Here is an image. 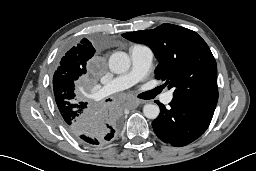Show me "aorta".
<instances>
[{
    "label": "aorta",
    "mask_w": 256,
    "mask_h": 171,
    "mask_svg": "<svg viewBox=\"0 0 256 171\" xmlns=\"http://www.w3.org/2000/svg\"><path fill=\"white\" fill-rule=\"evenodd\" d=\"M130 66V58L125 52H115L109 58V68L116 74L127 72ZM143 113L144 116L148 119H156L160 113V109L156 104H146L143 107Z\"/></svg>",
    "instance_id": "762f6f07"
}]
</instances>
